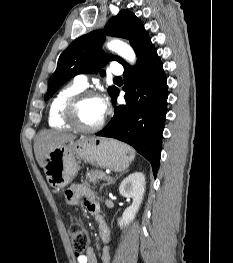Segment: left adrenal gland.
<instances>
[{"mask_svg": "<svg viewBox=\"0 0 233 263\" xmlns=\"http://www.w3.org/2000/svg\"><path fill=\"white\" fill-rule=\"evenodd\" d=\"M122 174H123V173H122ZM122 174H120L119 176H116V178H114L113 180L109 181L107 184L102 185L101 188H100V190L103 188V186H106V185H110V184L115 183L116 180H117Z\"/></svg>", "mask_w": 233, "mask_h": 263, "instance_id": "1", "label": "left adrenal gland"}]
</instances>
